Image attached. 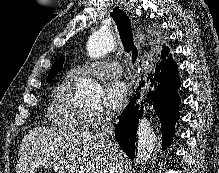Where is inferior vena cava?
Wrapping results in <instances>:
<instances>
[{
  "label": "inferior vena cava",
  "instance_id": "602c4592",
  "mask_svg": "<svg viewBox=\"0 0 219 173\" xmlns=\"http://www.w3.org/2000/svg\"><path fill=\"white\" fill-rule=\"evenodd\" d=\"M111 121H112V115L108 112L103 120L101 131L99 132L98 136L108 144L111 161L115 162L117 160L119 149H118V145L112 139H110L113 135V125ZM114 172H116V170L115 168H112L110 170V173H114Z\"/></svg>",
  "mask_w": 219,
  "mask_h": 173
}]
</instances>
